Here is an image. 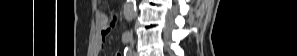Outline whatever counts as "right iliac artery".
Segmentation results:
<instances>
[{
	"instance_id": "82829eb1",
	"label": "right iliac artery",
	"mask_w": 297,
	"mask_h": 56,
	"mask_svg": "<svg viewBox=\"0 0 297 56\" xmlns=\"http://www.w3.org/2000/svg\"><path fill=\"white\" fill-rule=\"evenodd\" d=\"M129 40H130V35H129V34H124V35L122 36V41H123V43H128Z\"/></svg>"
}]
</instances>
